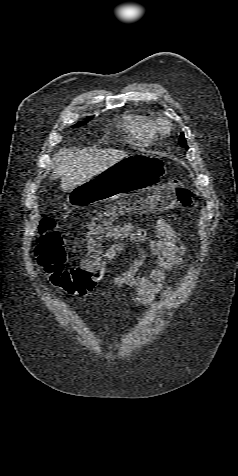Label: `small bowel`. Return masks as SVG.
I'll return each instance as SVG.
<instances>
[{
	"label": "small bowel",
	"mask_w": 238,
	"mask_h": 476,
	"mask_svg": "<svg viewBox=\"0 0 238 476\" xmlns=\"http://www.w3.org/2000/svg\"><path fill=\"white\" fill-rule=\"evenodd\" d=\"M106 237L114 243L105 251L97 264L106 278L107 287H130L134 295L129 299L138 305L147 306L154 302L157 296L164 297L171 289L165 285V276L169 270L182 268L185 265L184 254L186 248L179 243L177 232L164 219H160L156 226L155 237H150L145 229L132 223L115 225L106 231ZM148 244V251L154 257L155 267L147 276L144 275V266L147 260V249L142 245ZM130 244L137 257L132 265L124 271L115 272L110 262ZM91 290H85L75 295H86Z\"/></svg>",
	"instance_id": "obj_1"
}]
</instances>
